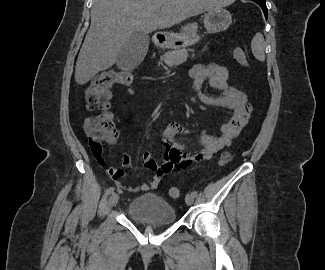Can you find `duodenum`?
<instances>
[{"label": "duodenum", "instance_id": "duodenum-1", "mask_svg": "<svg viewBox=\"0 0 325 270\" xmlns=\"http://www.w3.org/2000/svg\"><path fill=\"white\" fill-rule=\"evenodd\" d=\"M154 39L158 44H160L161 42L165 41L166 36L162 32H157Z\"/></svg>", "mask_w": 325, "mask_h": 270}]
</instances>
